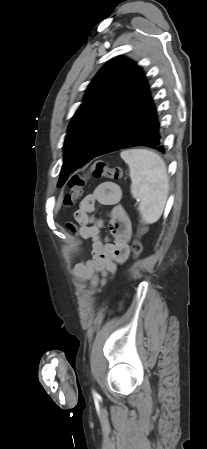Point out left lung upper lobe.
<instances>
[{
	"label": "left lung upper lobe",
	"instance_id": "5c2ea615",
	"mask_svg": "<svg viewBox=\"0 0 207 449\" xmlns=\"http://www.w3.org/2000/svg\"><path fill=\"white\" fill-rule=\"evenodd\" d=\"M148 91L144 73L128 59L116 58L99 71L69 125L58 187L94 158L112 129Z\"/></svg>",
	"mask_w": 207,
	"mask_h": 449
}]
</instances>
